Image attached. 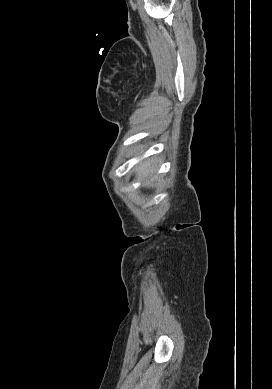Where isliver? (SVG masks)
<instances>
[{
	"label": "liver",
	"instance_id": "liver-1",
	"mask_svg": "<svg viewBox=\"0 0 272 389\" xmlns=\"http://www.w3.org/2000/svg\"><path fill=\"white\" fill-rule=\"evenodd\" d=\"M152 163H153V161H150V160L143 161L138 165L137 170H136L137 174H140V178L146 179V183H148V184L152 180V178H150V176L155 171V168H151ZM146 183H144V184H146Z\"/></svg>",
	"mask_w": 272,
	"mask_h": 389
}]
</instances>
